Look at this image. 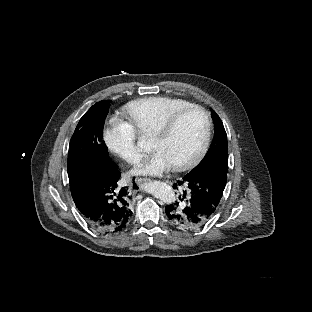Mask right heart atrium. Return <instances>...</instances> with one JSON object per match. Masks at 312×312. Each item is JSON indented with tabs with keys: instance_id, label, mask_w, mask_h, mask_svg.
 <instances>
[{
	"instance_id": "obj_1",
	"label": "right heart atrium",
	"mask_w": 312,
	"mask_h": 312,
	"mask_svg": "<svg viewBox=\"0 0 312 312\" xmlns=\"http://www.w3.org/2000/svg\"><path fill=\"white\" fill-rule=\"evenodd\" d=\"M104 144L118 162L136 165L141 160L142 145L136 131L127 122L114 121L106 129Z\"/></svg>"
}]
</instances>
